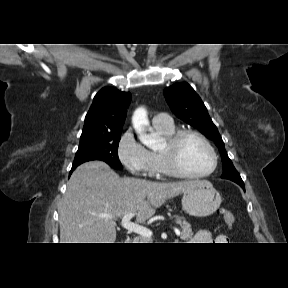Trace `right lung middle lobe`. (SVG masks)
I'll return each mask as SVG.
<instances>
[{"instance_id": "dd1d6c3e", "label": "right lung middle lobe", "mask_w": 288, "mask_h": 288, "mask_svg": "<svg viewBox=\"0 0 288 288\" xmlns=\"http://www.w3.org/2000/svg\"><path fill=\"white\" fill-rule=\"evenodd\" d=\"M120 135L121 132H117L97 138L80 140L72 167H77L87 161L101 160L115 169H122L118 158Z\"/></svg>"}]
</instances>
